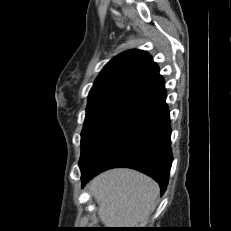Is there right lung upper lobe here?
Returning a JSON list of instances; mask_svg holds the SVG:
<instances>
[{
    "label": "right lung upper lobe",
    "instance_id": "right-lung-upper-lobe-1",
    "mask_svg": "<svg viewBox=\"0 0 231 231\" xmlns=\"http://www.w3.org/2000/svg\"><path fill=\"white\" fill-rule=\"evenodd\" d=\"M108 96H131L149 105L166 98L164 79L147 52L125 51L103 68L89 93L88 104Z\"/></svg>",
    "mask_w": 231,
    "mask_h": 231
}]
</instances>
